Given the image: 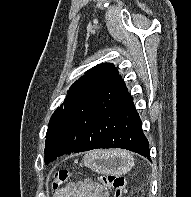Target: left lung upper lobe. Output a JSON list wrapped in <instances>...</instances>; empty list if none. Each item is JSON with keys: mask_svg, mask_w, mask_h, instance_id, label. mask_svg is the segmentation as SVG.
<instances>
[{"mask_svg": "<svg viewBox=\"0 0 191 197\" xmlns=\"http://www.w3.org/2000/svg\"><path fill=\"white\" fill-rule=\"evenodd\" d=\"M120 83H123V80L117 68L113 64L106 63L88 70L70 87L64 102L56 109L49 122L45 163L73 152L74 148L67 142L64 129L73 119L78 108L90 97L100 96Z\"/></svg>", "mask_w": 191, "mask_h": 197, "instance_id": "left-lung-upper-lobe-1", "label": "left lung upper lobe"}]
</instances>
